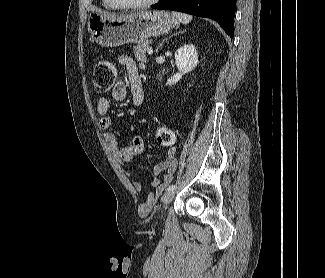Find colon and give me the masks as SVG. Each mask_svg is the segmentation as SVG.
Returning a JSON list of instances; mask_svg holds the SVG:
<instances>
[{
	"mask_svg": "<svg viewBox=\"0 0 325 278\" xmlns=\"http://www.w3.org/2000/svg\"><path fill=\"white\" fill-rule=\"evenodd\" d=\"M115 83V68L107 60H100L94 67L92 84L97 92L105 93L109 91ZM155 136L160 144L171 146L174 144V132L166 126H158L155 130ZM149 205L142 207V212L147 213Z\"/></svg>",
	"mask_w": 325,
	"mask_h": 278,
	"instance_id": "obj_1",
	"label": "colon"
}]
</instances>
